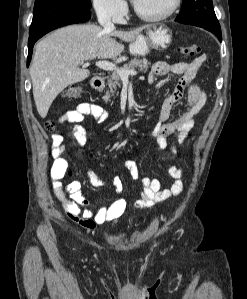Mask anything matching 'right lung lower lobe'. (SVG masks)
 <instances>
[{
  "instance_id": "98d812e1",
  "label": "right lung lower lobe",
  "mask_w": 247,
  "mask_h": 299,
  "mask_svg": "<svg viewBox=\"0 0 247 299\" xmlns=\"http://www.w3.org/2000/svg\"><path fill=\"white\" fill-rule=\"evenodd\" d=\"M91 17L90 10H80V11H72L65 13L48 23L44 24L40 28L34 30L33 32H29V40H28V58H27V66H29L32 56V50L34 43L41 38L46 33L64 26L73 23H81L89 20Z\"/></svg>"
}]
</instances>
